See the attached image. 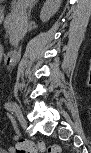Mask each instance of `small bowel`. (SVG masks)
I'll return each mask as SVG.
<instances>
[{
    "label": "small bowel",
    "instance_id": "obj_1",
    "mask_svg": "<svg viewBox=\"0 0 91 153\" xmlns=\"http://www.w3.org/2000/svg\"><path fill=\"white\" fill-rule=\"evenodd\" d=\"M8 152H9V153H14V148H9V149H8Z\"/></svg>",
    "mask_w": 91,
    "mask_h": 153
}]
</instances>
